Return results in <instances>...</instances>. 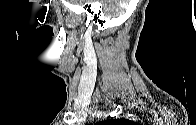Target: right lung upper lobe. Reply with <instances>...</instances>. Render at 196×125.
Listing matches in <instances>:
<instances>
[{
	"mask_svg": "<svg viewBox=\"0 0 196 125\" xmlns=\"http://www.w3.org/2000/svg\"><path fill=\"white\" fill-rule=\"evenodd\" d=\"M108 122H109V123L119 122V123H125V124L128 123V121L125 120V119H117V120L111 119V120H108Z\"/></svg>",
	"mask_w": 196,
	"mask_h": 125,
	"instance_id": "obj_1",
	"label": "right lung upper lobe"
}]
</instances>
